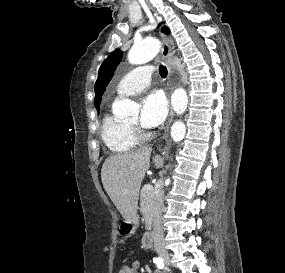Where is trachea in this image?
I'll return each instance as SVG.
<instances>
[{
  "instance_id": "3493384b",
  "label": "trachea",
  "mask_w": 285,
  "mask_h": 273,
  "mask_svg": "<svg viewBox=\"0 0 285 273\" xmlns=\"http://www.w3.org/2000/svg\"><path fill=\"white\" fill-rule=\"evenodd\" d=\"M159 74L162 78H166L167 76V68L163 65H160L159 67Z\"/></svg>"
}]
</instances>
